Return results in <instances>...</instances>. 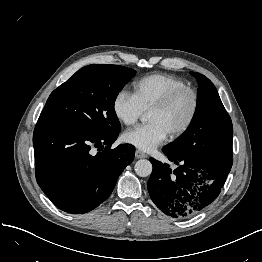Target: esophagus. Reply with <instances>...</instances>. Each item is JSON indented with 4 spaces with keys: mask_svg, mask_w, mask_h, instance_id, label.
<instances>
[{
    "mask_svg": "<svg viewBox=\"0 0 262 262\" xmlns=\"http://www.w3.org/2000/svg\"><path fill=\"white\" fill-rule=\"evenodd\" d=\"M135 157L137 159H142V158H146L147 157V154L143 153L142 151L140 150H136L135 151Z\"/></svg>",
    "mask_w": 262,
    "mask_h": 262,
    "instance_id": "1",
    "label": "esophagus"
}]
</instances>
